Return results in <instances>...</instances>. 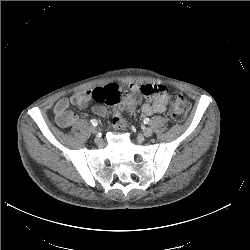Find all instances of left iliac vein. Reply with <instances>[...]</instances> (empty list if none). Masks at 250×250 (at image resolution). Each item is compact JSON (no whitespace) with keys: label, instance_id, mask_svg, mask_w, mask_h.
Wrapping results in <instances>:
<instances>
[{"label":"left iliac vein","instance_id":"obj_1","mask_svg":"<svg viewBox=\"0 0 250 250\" xmlns=\"http://www.w3.org/2000/svg\"><path fill=\"white\" fill-rule=\"evenodd\" d=\"M152 134H153V131H152L151 128H145V129L143 130V135H144L145 137H150V136H152Z\"/></svg>","mask_w":250,"mask_h":250}]
</instances>
